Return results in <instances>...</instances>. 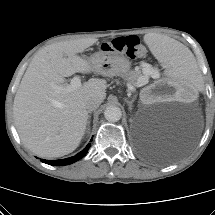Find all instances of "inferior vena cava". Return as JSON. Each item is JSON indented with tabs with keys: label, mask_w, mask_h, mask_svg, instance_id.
Wrapping results in <instances>:
<instances>
[{
	"label": "inferior vena cava",
	"mask_w": 215,
	"mask_h": 215,
	"mask_svg": "<svg viewBox=\"0 0 215 215\" xmlns=\"http://www.w3.org/2000/svg\"><path fill=\"white\" fill-rule=\"evenodd\" d=\"M100 104H101L100 99L91 98L86 102L85 108L87 109L88 112H91L93 110H96L99 107Z\"/></svg>",
	"instance_id": "602c4592"
}]
</instances>
